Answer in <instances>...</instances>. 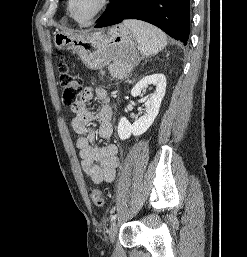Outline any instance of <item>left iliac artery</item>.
I'll use <instances>...</instances> for the list:
<instances>
[{"instance_id":"obj_1","label":"left iliac artery","mask_w":247,"mask_h":257,"mask_svg":"<svg viewBox=\"0 0 247 257\" xmlns=\"http://www.w3.org/2000/svg\"><path fill=\"white\" fill-rule=\"evenodd\" d=\"M116 218H117V215H116V214L112 215V216H111V221L115 220Z\"/></svg>"}]
</instances>
